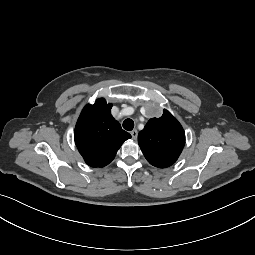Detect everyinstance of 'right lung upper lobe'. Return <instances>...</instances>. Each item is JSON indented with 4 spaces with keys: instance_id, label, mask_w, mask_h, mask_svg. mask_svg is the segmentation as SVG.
Masks as SVG:
<instances>
[{
    "instance_id": "right-lung-upper-lobe-1",
    "label": "right lung upper lobe",
    "mask_w": 255,
    "mask_h": 255,
    "mask_svg": "<svg viewBox=\"0 0 255 255\" xmlns=\"http://www.w3.org/2000/svg\"><path fill=\"white\" fill-rule=\"evenodd\" d=\"M111 104L99 98L82 110L74 139L76 146L91 167H104L115 157L118 149L131 135L121 128L111 115Z\"/></svg>"
}]
</instances>
